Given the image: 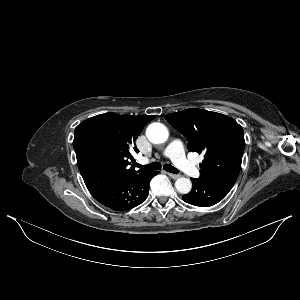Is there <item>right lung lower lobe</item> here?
Here are the masks:
<instances>
[{"instance_id": "right-lung-lower-lobe-1", "label": "right lung lower lobe", "mask_w": 300, "mask_h": 300, "mask_svg": "<svg viewBox=\"0 0 300 300\" xmlns=\"http://www.w3.org/2000/svg\"><path fill=\"white\" fill-rule=\"evenodd\" d=\"M158 172L144 171L128 175L109 185L88 189L104 206L114 211H126L144 202L149 192V182Z\"/></svg>"}]
</instances>
